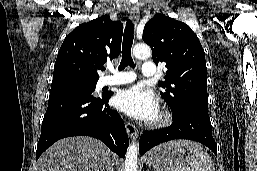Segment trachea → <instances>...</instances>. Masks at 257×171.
Returning a JSON list of instances; mask_svg holds the SVG:
<instances>
[{
	"instance_id": "trachea-1",
	"label": "trachea",
	"mask_w": 257,
	"mask_h": 171,
	"mask_svg": "<svg viewBox=\"0 0 257 171\" xmlns=\"http://www.w3.org/2000/svg\"><path fill=\"white\" fill-rule=\"evenodd\" d=\"M134 39V24L131 20H128L123 35L122 43V59L119 65V70H123L126 66L135 67L132 56L131 48Z\"/></svg>"
}]
</instances>
